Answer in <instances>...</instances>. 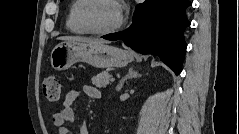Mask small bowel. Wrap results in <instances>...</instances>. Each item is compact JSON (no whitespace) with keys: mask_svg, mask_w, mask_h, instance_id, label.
Segmentation results:
<instances>
[{"mask_svg":"<svg viewBox=\"0 0 239 134\" xmlns=\"http://www.w3.org/2000/svg\"><path fill=\"white\" fill-rule=\"evenodd\" d=\"M83 92L92 99H100L102 97L99 89L93 86L86 85L83 87ZM81 90H71L65 96L61 108L53 115L52 121L59 129V134H71V131L66 127V123L75 121V112L73 104L80 98ZM80 134H88L85 124H81L79 128Z\"/></svg>","mask_w":239,"mask_h":134,"instance_id":"small-bowel-1","label":"small bowel"}]
</instances>
